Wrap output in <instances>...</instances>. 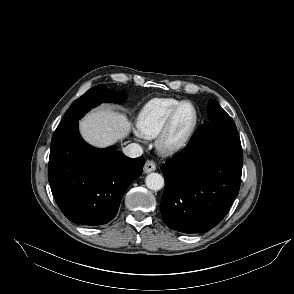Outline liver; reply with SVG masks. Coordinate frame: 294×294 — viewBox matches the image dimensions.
Returning <instances> with one entry per match:
<instances>
[{
	"instance_id": "obj_1",
	"label": "liver",
	"mask_w": 294,
	"mask_h": 294,
	"mask_svg": "<svg viewBox=\"0 0 294 294\" xmlns=\"http://www.w3.org/2000/svg\"><path fill=\"white\" fill-rule=\"evenodd\" d=\"M131 125L126 116L111 108L89 113L80 121L83 138L96 147H106L126 137Z\"/></svg>"
}]
</instances>
